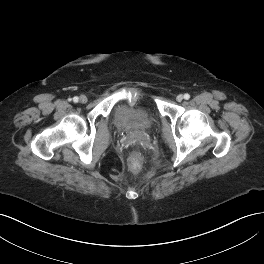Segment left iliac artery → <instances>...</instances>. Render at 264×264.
Instances as JSON below:
<instances>
[{"instance_id":"left-iliac-artery-1","label":"left iliac artery","mask_w":264,"mask_h":264,"mask_svg":"<svg viewBox=\"0 0 264 264\" xmlns=\"http://www.w3.org/2000/svg\"><path fill=\"white\" fill-rule=\"evenodd\" d=\"M190 98V95L188 93L184 94V99L188 100Z\"/></svg>"}]
</instances>
